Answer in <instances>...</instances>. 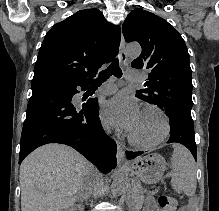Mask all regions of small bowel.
<instances>
[{
    "label": "small bowel",
    "instance_id": "small-bowel-1",
    "mask_svg": "<svg viewBox=\"0 0 219 211\" xmlns=\"http://www.w3.org/2000/svg\"><path fill=\"white\" fill-rule=\"evenodd\" d=\"M146 211H159L157 206H156V203L152 197H149L147 199ZM181 211H193V210H192V207L186 206Z\"/></svg>",
    "mask_w": 219,
    "mask_h": 211
}]
</instances>
